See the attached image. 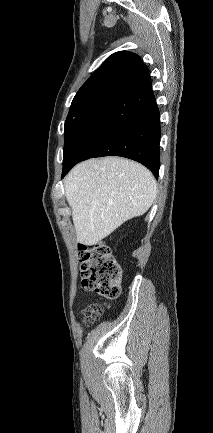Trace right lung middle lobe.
<instances>
[{"mask_svg":"<svg viewBox=\"0 0 213 433\" xmlns=\"http://www.w3.org/2000/svg\"><path fill=\"white\" fill-rule=\"evenodd\" d=\"M118 95V93H102L72 101L64 125L65 145L63 154L67 152L88 123Z\"/></svg>","mask_w":213,"mask_h":433,"instance_id":"1","label":"right lung middle lobe"}]
</instances>
